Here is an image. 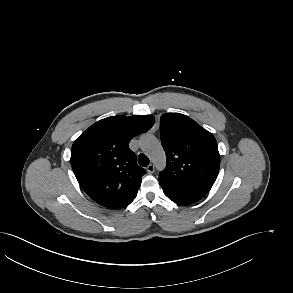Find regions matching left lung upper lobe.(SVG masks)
<instances>
[{
  "label": "left lung upper lobe",
  "instance_id": "obj_1",
  "mask_svg": "<svg viewBox=\"0 0 293 293\" xmlns=\"http://www.w3.org/2000/svg\"><path fill=\"white\" fill-rule=\"evenodd\" d=\"M160 138L166 168L159 174L163 190L201 199L213 186L220 166L214 136L194 120L179 113L160 118Z\"/></svg>",
  "mask_w": 293,
  "mask_h": 293
}]
</instances>
